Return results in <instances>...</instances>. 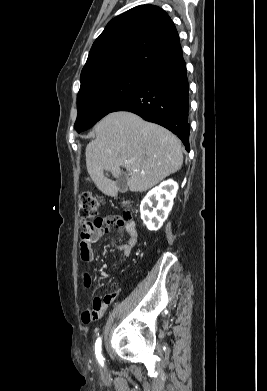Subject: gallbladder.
<instances>
[{"mask_svg":"<svg viewBox=\"0 0 267 391\" xmlns=\"http://www.w3.org/2000/svg\"><path fill=\"white\" fill-rule=\"evenodd\" d=\"M116 186L119 192L125 193L128 191L127 178L124 174H121L116 181Z\"/></svg>","mask_w":267,"mask_h":391,"instance_id":"obj_1","label":"gallbladder"}]
</instances>
